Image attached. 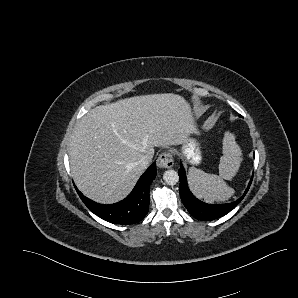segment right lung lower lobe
I'll list each match as a JSON object with an SVG mask.
<instances>
[{
	"instance_id": "right-lung-lower-lobe-1",
	"label": "right lung lower lobe",
	"mask_w": 298,
	"mask_h": 298,
	"mask_svg": "<svg viewBox=\"0 0 298 298\" xmlns=\"http://www.w3.org/2000/svg\"><path fill=\"white\" fill-rule=\"evenodd\" d=\"M156 177V164L153 163L140 177L132 192L122 201L111 204H98L77 192L83 203L97 216L114 224H133L141 221L149 209L150 184Z\"/></svg>"
}]
</instances>
